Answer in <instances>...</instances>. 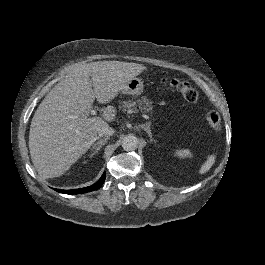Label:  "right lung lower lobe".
<instances>
[{"label": "right lung lower lobe", "instance_id": "obj_1", "mask_svg": "<svg viewBox=\"0 0 265 265\" xmlns=\"http://www.w3.org/2000/svg\"><path fill=\"white\" fill-rule=\"evenodd\" d=\"M105 176L106 175L104 172L101 178L99 179V181L89 187L80 188V189H72V190H61V189H54V190L60 193H64V194H82V193L91 192V191L99 189L102 186V184L105 181Z\"/></svg>", "mask_w": 265, "mask_h": 265}]
</instances>
